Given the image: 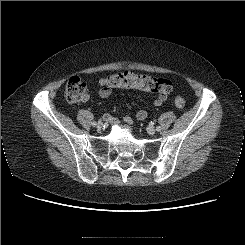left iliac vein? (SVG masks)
<instances>
[{
    "instance_id": "left-iliac-vein-1",
    "label": "left iliac vein",
    "mask_w": 245,
    "mask_h": 245,
    "mask_svg": "<svg viewBox=\"0 0 245 245\" xmlns=\"http://www.w3.org/2000/svg\"><path fill=\"white\" fill-rule=\"evenodd\" d=\"M147 132H148L149 134L153 135V134H155L156 129H155L154 127H152V126H148V127H147Z\"/></svg>"
}]
</instances>
